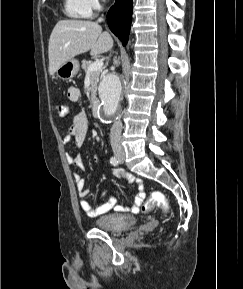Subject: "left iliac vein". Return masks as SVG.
Here are the masks:
<instances>
[{"instance_id": "1", "label": "left iliac vein", "mask_w": 243, "mask_h": 289, "mask_svg": "<svg viewBox=\"0 0 243 289\" xmlns=\"http://www.w3.org/2000/svg\"><path fill=\"white\" fill-rule=\"evenodd\" d=\"M118 158H119L120 163L124 162V154H120Z\"/></svg>"}]
</instances>
